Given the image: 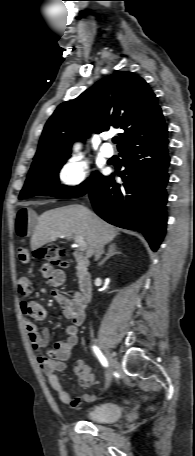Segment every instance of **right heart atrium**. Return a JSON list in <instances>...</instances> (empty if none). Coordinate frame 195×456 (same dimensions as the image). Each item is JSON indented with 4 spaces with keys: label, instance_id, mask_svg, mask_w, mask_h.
<instances>
[{
    "label": "right heart atrium",
    "instance_id": "1",
    "mask_svg": "<svg viewBox=\"0 0 195 456\" xmlns=\"http://www.w3.org/2000/svg\"><path fill=\"white\" fill-rule=\"evenodd\" d=\"M90 168L80 160H66L57 170V179L66 189L74 190L82 187L88 181Z\"/></svg>",
    "mask_w": 195,
    "mask_h": 456
}]
</instances>
